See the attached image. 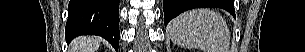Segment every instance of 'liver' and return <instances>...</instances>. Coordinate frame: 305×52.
Segmentation results:
<instances>
[{"mask_svg":"<svg viewBox=\"0 0 305 52\" xmlns=\"http://www.w3.org/2000/svg\"><path fill=\"white\" fill-rule=\"evenodd\" d=\"M100 45V39L96 36L79 37L74 41L75 52H96Z\"/></svg>","mask_w":305,"mask_h":52,"instance_id":"6515ba94","label":"liver"}]
</instances>
